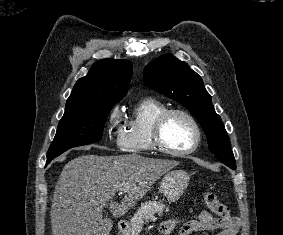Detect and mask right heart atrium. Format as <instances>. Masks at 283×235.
I'll return each mask as SVG.
<instances>
[{"label": "right heart atrium", "instance_id": "1", "mask_svg": "<svg viewBox=\"0 0 283 235\" xmlns=\"http://www.w3.org/2000/svg\"><path fill=\"white\" fill-rule=\"evenodd\" d=\"M121 131V115L118 108H115L109 117V134L119 135Z\"/></svg>", "mask_w": 283, "mask_h": 235}]
</instances>
